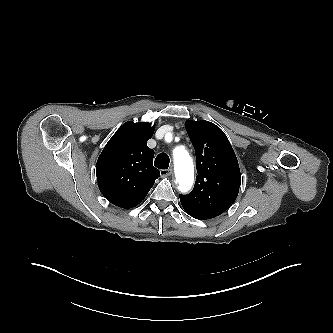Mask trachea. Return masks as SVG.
<instances>
[{
  "instance_id": "3493384b",
  "label": "trachea",
  "mask_w": 333,
  "mask_h": 333,
  "mask_svg": "<svg viewBox=\"0 0 333 333\" xmlns=\"http://www.w3.org/2000/svg\"><path fill=\"white\" fill-rule=\"evenodd\" d=\"M170 163L169 156L166 153H160L157 155L154 161V166L159 169H168Z\"/></svg>"
}]
</instances>
